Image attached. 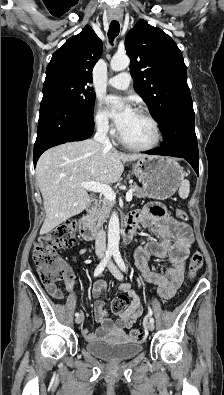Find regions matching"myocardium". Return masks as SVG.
Returning <instances> with one entry per match:
<instances>
[{"mask_svg": "<svg viewBox=\"0 0 224 395\" xmlns=\"http://www.w3.org/2000/svg\"><path fill=\"white\" fill-rule=\"evenodd\" d=\"M135 112L142 115L144 118H146L153 126V129H154L153 141L147 145H136V144L126 141L124 139V137L122 136L121 132L119 131L118 132L119 142L122 145H124L125 147H127L131 150H135V151H150V150L155 149L159 145L161 138H162V133H161V129H160V125H159L158 121L149 111H147L145 109L139 108Z\"/></svg>", "mask_w": 224, "mask_h": 395, "instance_id": "myocardium-1", "label": "myocardium"}]
</instances>
